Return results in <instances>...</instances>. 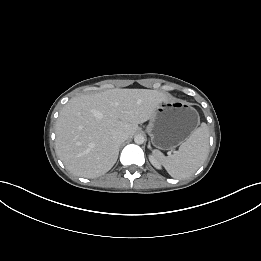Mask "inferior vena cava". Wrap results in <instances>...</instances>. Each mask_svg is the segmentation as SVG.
<instances>
[{
    "label": "inferior vena cava",
    "instance_id": "obj_1",
    "mask_svg": "<svg viewBox=\"0 0 261 261\" xmlns=\"http://www.w3.org/2000/svg\"><path fill=\"white\" fill-rule=\"evenodd\" d=\"M128 138L127 134L124 132H116L113 135V139L117 144L123 143Z\"/></svg>",
    "mask_w": 261,
    "mask_h": 261
}]
</instances>
